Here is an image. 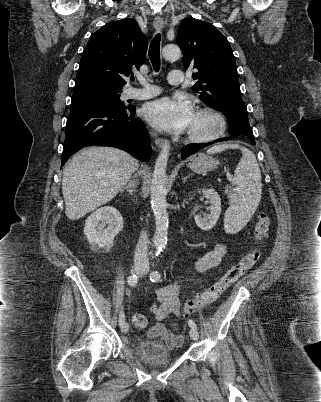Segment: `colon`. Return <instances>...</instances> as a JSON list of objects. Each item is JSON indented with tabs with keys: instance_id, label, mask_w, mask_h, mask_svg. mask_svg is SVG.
Wrapping results in <instances>:
<instances>
[{
	"instance_id": "5ec220e1",
	"label": "colon",
	"mask_w": 321,
	"mask_h": 402,
	"mask_svg": "<svg viewBox=\"0 0 321 402\" xmlns=\"http://www.w3.org/2000/svg\"><path fill=\"white\" fill-rule=\"evenodd\" d=\"M270 229V218L265 212H261L254 228V244L241 257L239 261L233 264L223 276L215 283L206 288L196 299L187 301L183 307V316H187L194 311L205 307L218 299V297L235 281L246 274L259 258L258 243L262 241ZM133 324L139 329L147 325L145 315L135 313L132 318Z\"/></svg>"
}]
</instances>
